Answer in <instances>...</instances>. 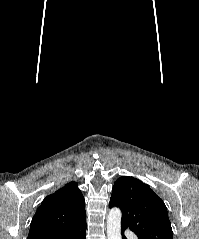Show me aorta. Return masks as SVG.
<instances>
[{
    "label": "aorta",
    "instance_id": "762f6f07",
    "mask_svg": "<svg viewBox=\"0 0 199 239\" xmlns=\"http://www.w3.org/2000/svg\"><path fill=\"white\" fill-rule=\"evenodd\" d=\"M121 210L119 208H112L107 216V237L108 239H122L121 238Z\"/></svg>",
    "mask_w": 199,
    "mask_h": 239
}]
</instances>
